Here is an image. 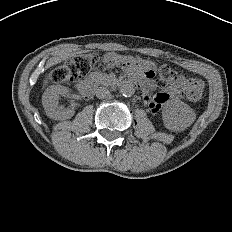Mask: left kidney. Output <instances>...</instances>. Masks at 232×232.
<instances>
[{
	"label": "left kidney",
	"instance_id": "left-kidney-1",
	"mask_svg": "<svg viewBox=\"0 0 232 232\" xmlns=\"http://www.w3.org/2000/svg\"><path fill=\"white\" fill-rule=\"evenodd\" d=\"M162 119L167 129L183 131L193 124L196 114L189 105L180 100H175L164 107Z\"/></svg>",
	"mask_w": 232,
	"mask_h": 232
}]
</instances>
